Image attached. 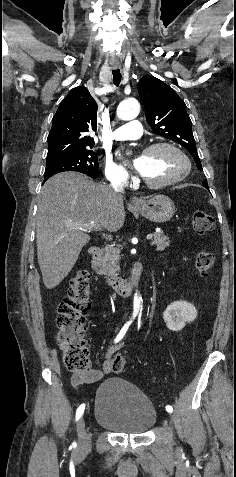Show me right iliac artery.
<instances>
[{
  "instance_id": "1",
  "label": "right iliac artery",
  "mask_w": 236,
  "mask_h": 477,
  "mask_svg": "<svg viewBox=\"0 0 236 477\" xmlns=\"http://www.w3.org/2000/svg\"><path fill=\"white\" fill-rule=\"evenodd\" d=\"M130 324H131V322H127L123 326V328L121 329V331L119 332V334L117 335V337L114 340L116 343L119 342L124 337V335L126 334ZM84 410H85V404H81L76 411V421H78L81 418V416L84 413ZM73 445H75V443H73Z\"/></svg>"
}]
</instances>
